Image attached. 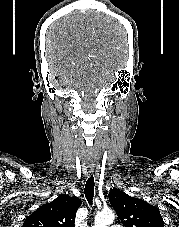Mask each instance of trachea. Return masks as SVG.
<instances>
[{"mask_svg": "<svg viewBox=\"0 0 179 227\" xmlns=\"http://www.w3.org/2000/svg\"><path fill=\"white\" fill-rule=\"evenodd\" d=\"M94 186H95L94 177H93V175H91L87 179L86 184H85V189H84L85 197L90 205H92V201H93Z\"/></svg>", "mask_w": 179, "mask_h": 227, "instance_id": "1", "label": "trachea"}]
</instances>
